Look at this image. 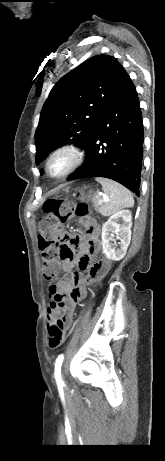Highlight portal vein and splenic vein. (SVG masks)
<instances>
[{"label": "portal vein and splenic vein", "mask_w": 165, "mask_h": 461, "mask_svg": "<svg viewBox=\"0 0 165 461\" xmlns=\"http://www.w3.org/2000/svg\"><path fill=\"white\" fill-rule=\"evenodd\" d=\"M107 201H108V198L105 197V196H103V198H100V199L98 200V204L101 205V204H103V202H107Z\"/></svg>", "instance_id": "18ae733b"}]
</instances>
